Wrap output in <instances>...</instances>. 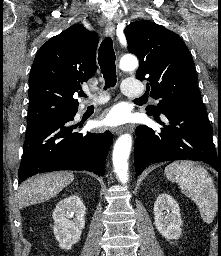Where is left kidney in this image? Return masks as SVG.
<instances>
[{
  "label": "left kidney",
  "instance_id": "obj_1",
  "mask_svg": "<svg viewBox=\"0 0 221 256\" xmlns=\"http://www.w3.org/2000/svg\"><path fill=\"white\" fill-rule=\"evenodd\" d=\"M167 211V214H166ZM154 224L167 240H177L182 234L180 208L171 195L163 193L154 204Z\"/></svg>",
  "mask_w": 221,
  "mask_h": 256
}]
</instances>
